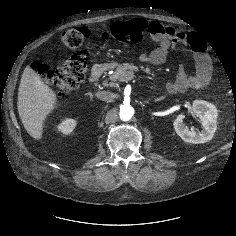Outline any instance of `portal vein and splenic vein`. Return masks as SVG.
Segmentation results:
<instances>
[{"label": "portal vein and splenic vein", "instance_id": "obj_1", "mask_svg": "<svg viewBox=\"0 0 236 236\" xmlns=\"http://www.w3.org/2000/svg\"><path fill=\"white\" fill-rule=\"evenodd\" d=\"M133 78V76H129L123 79V81H127V80H131Z\"/></svg>", "mask_w": 236, "mask_h": 236}]
</instances>
